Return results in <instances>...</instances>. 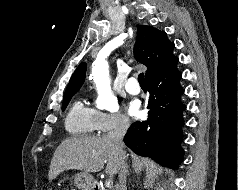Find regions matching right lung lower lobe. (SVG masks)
<instances>
[{
  "instance_id": "right-lung-lower-lobe-1",
  "label": "right lung lower lobe",
  "mask_w": 238,
  "mask_h": 190,
  "mask_svg": "<svg viewBox=\"0 0 238 190\" xmlns=\"http://www.w3.org/2000/svg\"><path fill=\"white\" fill-rule=\"evenodd\" d=\"M177 63L178 59L146 80L149 118L133 123L124 137V143L137 154L148 155L172 168H177L184 155L180 142L186 106L180 100L184 90L179 83L181 73L177 71Z\"/></svg>"
}]
</instances>
